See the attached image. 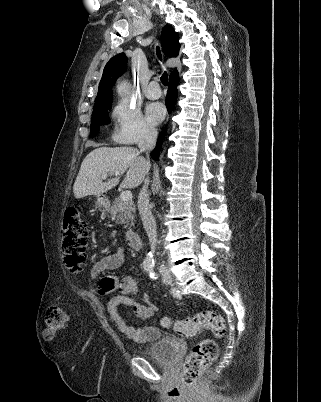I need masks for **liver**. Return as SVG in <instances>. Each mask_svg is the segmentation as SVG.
I'll use <instances>...</instances> for the list:
<instances>
[{
    "mask_svg": "<svg viewBox=\"0 0 321 402\" xmlns=\"http://www.w3.org/2000/svg\"><path fill=\"white\" fill-rule=\"evenodd\" d=\"M146 160L140 156L135 147H98L83 160L73 186L77 199L90 195H102L119 184L120 177L110 178L102 182L103 174L127 171L121 183L122 188L139 186L147 173Z\"/></svg>",
    "mask_w": 321,
    "mask_h": 402,
    "instance_id": "6515ba94",
    "label": "liver"
}]
</instances>
